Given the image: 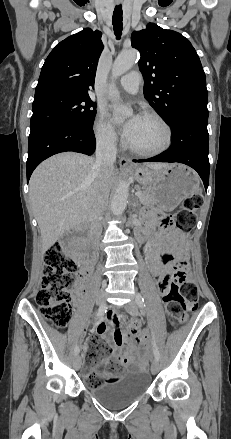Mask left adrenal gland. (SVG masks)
Segmentation results:
<instances>
[{
	"label": "left adrenal gland",
	"mask_w": 231,
	"mask_h": 439,
	"mask_svg": "<svg viewBox=\"0 0 231 439\" xmlns=\"http://www.w3.org/2000/svg\"><path fill=\"white\" fill-rule=\"evenodd\" d=\"M132 205H133V211H136V212H137V211H138L137 208L139 207V204H138V201H137L136 199L134 200V202H133Z\"/></svg>",
	"instance_id": "left-adrenal-gland-1"
}]
</instances>
